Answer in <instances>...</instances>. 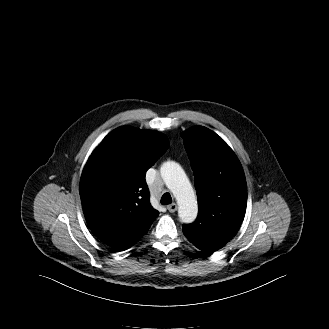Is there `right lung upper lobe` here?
I'll return each mask as SVG.
<instances>
[{
    "label": "right lung upper lobe",
    "instance_id": "right-lung-upper-lobe-1",
    "mask_svg": "<svg viewBox=\"0 0 329 329\" xmlns=\"http://www.w3.org/2000/svg\"><path fill=\"white\" fill-rule=\"evenodd\" d=\"M168 147L163 134L122 126L89 157L80 180L83 212L95 236L112 249L134 245L159 215L145 174Z\"/></svg>",
    "mask_w": 329,
    "mask_h": 329
}]
</instances>
